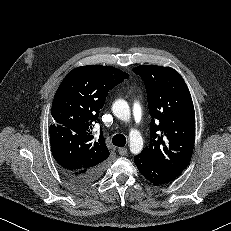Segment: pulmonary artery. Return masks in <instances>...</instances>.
Listing matches in <instances>:
<instances>
[{"instance_id":"obj_1","label":"pulmonary artery","mask_w":231,"mask_h":231,"mask_svg":"<svg viewBox=\"0 0 231 231\" xmlns=\"http://www.w3.org/2000/svg\"><path fill=\"white\" fill-rule=\"evenodd\" d=\"M132 115L136 124H140L142 119V109L138 102H135L132 107Z\"/></svg>"}]
</instances>
